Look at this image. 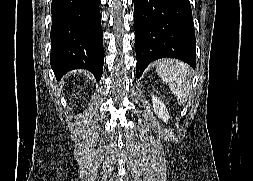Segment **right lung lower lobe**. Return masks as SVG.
Listing matches in <instances>:
<instances>
[{
    "instance_id": "1",
    "label": "right lung lower lobe",
    "mask_w": 253,
    "mask_h": 181,
    "mask_svg": "<svg viewBox=\"0 0 253 181\" xmlns=\"http://www.w3.org/2000/svg\"><path fill=\"white\" fill-rule=\"evenodd\" d=\"M100 0H53L51 67L60 79L67 71L87 69L99 81L103 72Z\"/></svg>"
}]
</instances>
